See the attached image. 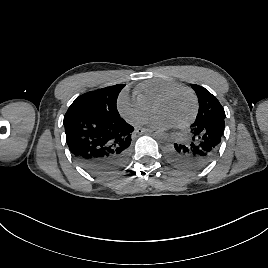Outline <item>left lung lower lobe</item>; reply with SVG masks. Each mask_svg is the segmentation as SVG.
I'll return each mask as SVG.
<instances>
[{"label":"left lung lower lobe","mask_w":268,"mask_h":268,"mask_svg":"<svg viewBox=\"0 0 268 268\" xmlns=\"http://www.w3.org/2000/svg\"><path fill=\"white\" fill-rule=\"evenodd\" d=\"M217 123V124H216ZM191 127L187 139L169 145L168 161L182 171H199L218 154L224 132V119Z\"/></svg>","instance_id":"1"}]
</instances>
